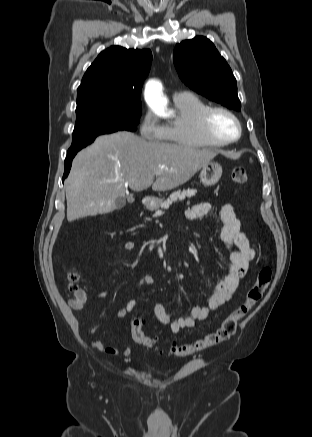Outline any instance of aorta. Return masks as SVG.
<instances>
[{"label":"aorta","mask_w":312,"mask_h":437,"mask_svg":"<svg viewBox=\"0 0 312 437\" xmlns=\"http://www.w3.org/2000/svg\"><path fill=\"white\" fill-rule=\"evenodd\" d=\"M145 99L153 110V112L158 115L165 117L167 116V100L162 94L161 84L156 81H149L145 89Z\"/></svg>","instance_id":"aorta-1"}]
</instances>
